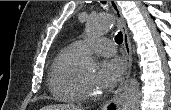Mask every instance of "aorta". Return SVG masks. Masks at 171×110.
<instances>
[{
  "instance_id": "obj_1",
  "label": "aorta",
  "mask_w": 171,
  "mask_h": 110,
  "mask_svg": "<svg viewBox=\"0 0 171 110\" xmlns=\"http://www.w3.org/2000/svg\"><path fill=\"white\" fill-rule=\"evenodd\" d=\"M114 26V19L109 14H100L92 16L86 23V30L89 35H102ZM82 66L88 70L93 71L96 68V62L91 56H86L83 60ZM140 86L136 78H131L125 92L124 101L121 110H139L140 105Z\"/></svg>"
}]
</instances>
